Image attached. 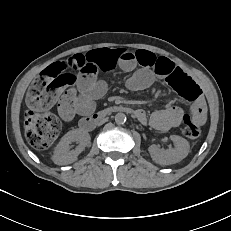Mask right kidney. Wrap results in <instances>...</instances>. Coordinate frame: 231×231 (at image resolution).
<instances>
[{"mask_svg": "<svg viewBox=\"0 0 231 231\" xmlns=\"http://www.w3.org/2000/svg\"><path fill=\"white\" fill-rule=\"evenodd\" d=\"M89 133L80 129H74L67 132L57 144L52 160L58 165H67L77 160L78 155L90 145ZM77 142L78 146L70 150V144Z\"/></svg>", "mask_w": 231, "mask_h": 231, "instance_id": "ca27d5eb", "label": "right kidney"}]
</instances>
